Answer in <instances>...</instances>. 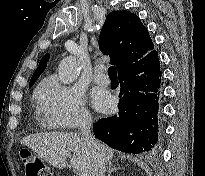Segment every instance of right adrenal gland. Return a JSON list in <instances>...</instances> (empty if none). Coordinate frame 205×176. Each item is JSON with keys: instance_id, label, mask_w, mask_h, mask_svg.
<instances>
[{"instance_id": "1", "label": "right adrenal gland", "mask_w": 205, "mask_h": 176, "mask_svg": "<svg viewBox=\"0 0 205 176\" xmlns=\"http://www.w3.org/2000/svg\"><path fill=\"white\" fill-rule=\"evenodd\" d=\"M108 174H107V176H111V174L113 173V172H115L116 170H118V169H121L120 167H114L113 166V161H110L109 162V166H108Z\"/></svg>"}]
</instances>
